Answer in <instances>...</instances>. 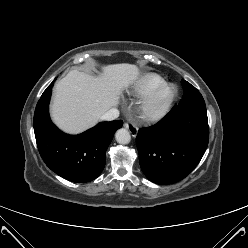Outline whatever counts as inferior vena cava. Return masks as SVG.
I'll return each mask as SVG.
<instances>
[{"instance_id":"inferior-vena-cava-1","label":"inferior vena cava","mask_w":248,"mask_h":248,"mask_svg":"<svg viewBox=\"0 0 248 248\" xmlns=\"http://www.w3.org/2000/svg\"><path fill=\"white\" fill-rule=\"evenodd\" d=\"M119 116V111L116 108H111L101 116V120L111 121L115 120Z\"/></svg>"}]
</instances>
